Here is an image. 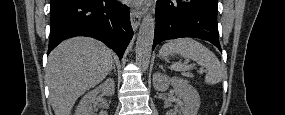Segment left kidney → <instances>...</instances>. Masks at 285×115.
<instances>
[{
  "mask_svg": "<svg viewBox=\"0 0 285 115\" xmlns=\"http://www.w3.org/2000/svg\"><path fill=\"white\" fill-rule=\"evenodd\" d=\"M154 88L165 91L171 84L177 96L176 104L180 108V115H197L200 107V96L197 90L188 84L186 80L178 77L169 78L165 74L155 73L153 76ZM175 115V113H169Z\"/></svg>",
  "mask_w": 285,
  "mask_h": 115,
  "instance_id": "left-kidney-1",
  "label": "left kidney"
}]
</instances>
